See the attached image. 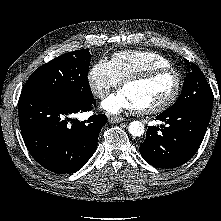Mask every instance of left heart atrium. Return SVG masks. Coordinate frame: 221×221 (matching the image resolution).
<instances>
[{
  "instance_id": "left-heart-atrium-1",
  "label": "left heart atrium",
  "mask_w": 221,
  "mask_h": 221,
  "mask_svg": "<svg viewBox=\"0 0 221 221\" xmlns=\"http://www.w3.org/2000/svg\"><path fill=\"white\" fill-rule=\"evenodd\" d=\"M102 108L110 114H119L123 111H138V107L122 89L108 96L101 104Z\"/></svg>"
}]
</instances>
